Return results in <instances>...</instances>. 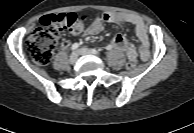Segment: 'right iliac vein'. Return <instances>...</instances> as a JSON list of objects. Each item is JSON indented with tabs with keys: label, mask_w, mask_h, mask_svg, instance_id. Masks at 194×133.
<instances>
[{
	"label": "right iliac vein",
	"mask_w": 194,
	"mask_h": 133,
	"mask_svg": "<svg viewBox=\"0 0 194 133\" xmlns=\"http://www.w3.org/2000/svg\"><path fill=\"white\" fill-rule=\"evenodd\" d=\"M78 60V54L76 52H73L71 55H70V58H69V61L71 64H75Z\"/></svg>",
	"instance_id": "obj_1"
}]
</instances>
